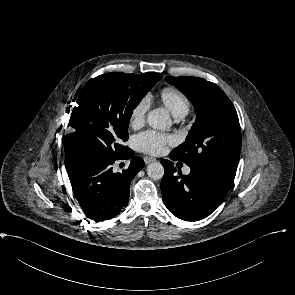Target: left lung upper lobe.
<instances>
[{
    "label": "left lung upper lobe",
    "mask_w": 295,
    "mask_h": 295,
    "mask_svg": "<svg viewBox=\"0 0 295 295\" xmlns=\"http://www.w3.org/2000/svg\"><path fill=\"white\" fill-rule=\"evenodd\" d=\"M166 80L188 97L197 115L185 142L171 155L231 188L241 151L235 107L219 86L202 78L167 76Z\"/></svg>",
    "instance_id": "left-lung-upper-lobe-1"
}]
</instances>
